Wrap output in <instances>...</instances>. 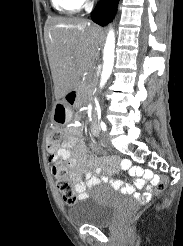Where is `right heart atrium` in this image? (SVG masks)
<instances>
[{
  "instance_id": "d8ad5b80",
  "label": "right heart atrium",
  "mask_w": 183,
  "mask_h": 246,
  "mask_svg": "<svg viewBox=\"0 0 183 246\" xmlns=\"http://www.w3.org/2000/svg\"><path fill=\"white\" fill-rule=\"evenodd\" d=\"M80 3L83 2V0H78Z\"/></svg>"
}]
</instances>
